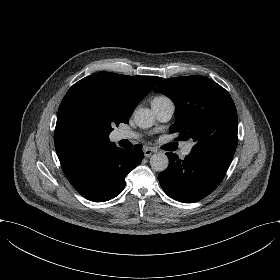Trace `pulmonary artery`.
<instances>
[{
	"label": "pulmonary artery",
	"instance_id": "e3ab8cb5",
	"mask_svg": "<svg viewBox=\"0 0 280 280\" xmlns=\"http://www.w3.org/2000/svg\"><path fill=\"white\" fill-rule=\"evenodd\" d=\"M151 108L156 118L161 122L169 121L175 111V105L173 101L167 97L159 96L153 99ZM137 138V134L132 131H120V139H134Z\"/></svg>",
	"mask_w": 280,
	"mask_h": 280
}]
</instances>
